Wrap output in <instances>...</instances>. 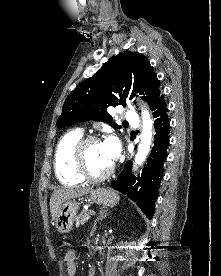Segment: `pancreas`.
<instances>
[{"label":"pancreas","mask_w":221,"mask_h":276,"mask_svg":"<svg viewBox=\"0 0 221 276\" xmlns=\"http://www.w3.org/2000/svg\"><path fill=\"white\" fill-rule=\"evenodd\" d=\"M89 219V212L83 210L76 218V227H79V225H84Z\"/></svg>","instance_id":"cf45deb5"}]
</instances>
